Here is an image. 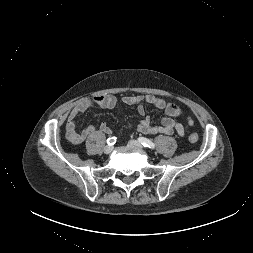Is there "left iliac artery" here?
<instances>
[{
    "label": "left iliac artery",
    "mask_w": 253,
    "mask_h": 253,
    "mask_svg": "<svg viewBox=\"0 0 253 253\" xmlns=\"http://www.w3.org/2000/svg\"><path fill=\"white\" fill-rule=\"evenodd\" d=\"M138 141H139L144 147H148V148H151V149H154V148H155L154 143H153L151 140H149V139H147V138H145V137H140V138H138Z\"/></svg>",
    "instance_id": "1"
}]
</instances>
